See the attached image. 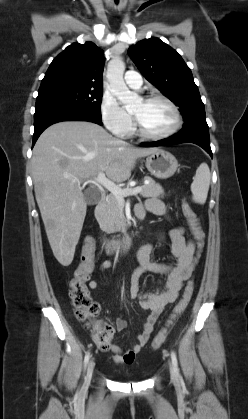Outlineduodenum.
Listing matches in <instances>:
<instances>
[{
  "mask_svg": "<svg viewBox=\"0 0 248 419\" xmlns=\"http://www.w3.org/2000/svg\"><path fill=\"white\" fill-rule=\"evenodd\" d=\"M105 202H106V193L101 192L100 199L95 209V216L98 220H100L102 217ZM135 214L138 219H142L144 216L143 207L138 206L136 208ZM132 241H133V234H126L120 238H113V239L103 238L102 244H103V248L105 252L111 255V254L122 253V252L128 251L132 245Z\"/></svg>",
  "mask_w": 248,
  "mask_h": 419,
  "instance_id": "obj_1",
  "label": "duodenum"
}]
</instances>
